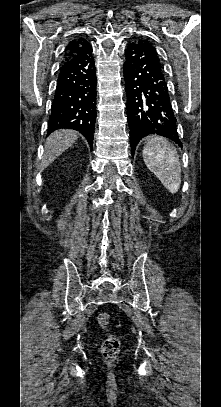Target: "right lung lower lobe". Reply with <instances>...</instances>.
I'll list each match as a JSON object with an SVG mask.
<instances>
[{"label": "right lung lower lobe", "mask_w": 221, "mask_h": 407, "mask_svg": "<svg viewBox=\"0 0 221 407\" xmlns=\"http://www.w3.org/2000/svg\"><path fill=\"white\" fill-rule=\"evenodd\" d=\"M96 121V74L89 43L61 64L49 118L48 134L69 128L93 144Z\"/></svg>", "instance_id": "1"}]
</instances>
